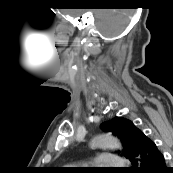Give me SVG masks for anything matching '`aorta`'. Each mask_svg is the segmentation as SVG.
<instances>
[{
    "instance_id": "762f6f07",
    "label": "aorta",
    "mask_w": 173,
    "mask_h": 173,
    "mask_svg": "<svg viewBox=\"0 0 173 173\" xmlns=\"http://www.w3.org/2000/svg\"><path fill=\"white\" fill-rule=\"evenodd\" d=\"M92 146L95 148H109L112 150L122 149V145L118 138L111 134H99L92 140Z\"/></svg>"
}]
</instances>
